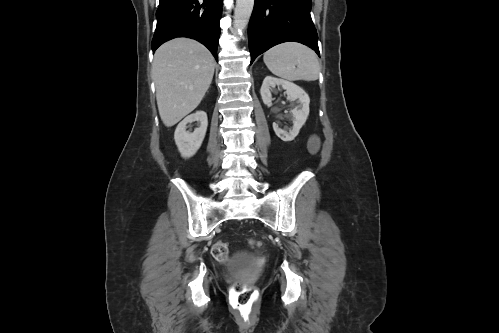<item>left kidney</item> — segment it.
I'll return each mask as SVG.
<instances>
[{
  "label": "left kidney",
  "mask_w": 499,
  "mask_h": 333,
  "mask_svg": "<svg viewBox=\"0 0 499 333\" xmlns=\"http://www.w3.org/2000/svg\"><path fill=\"white\" fill-rule=\"evenodd\" d=\"M275 86H281L286 90V94L292 101L298 100L297 105L291 109L293 126L289 131L281 129L277 123H273V129L276 135L283 141L289 142L299 134L300 129L305 124L309 115L310 98L308 94L298 85L272 76L265 77L260 89V94L264 104H272L271 89Z\"/></svg>",
  "instance_id": "left-kidney-1"
}]
</instances>
